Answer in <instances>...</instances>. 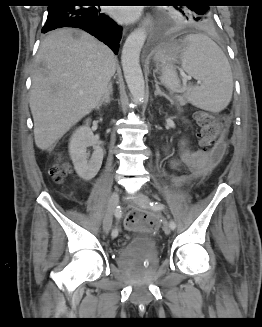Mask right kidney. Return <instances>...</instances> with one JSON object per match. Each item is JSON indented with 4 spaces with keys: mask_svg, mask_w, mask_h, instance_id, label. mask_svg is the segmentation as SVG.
I'll return each mask as SVG.
<instances>
[{
    "mask_svg": "<svg viewBox=\"0 0 262 327\" xmlns=\"http://www.w3.org/2000/svg\"><path fill=\"white\" fill-rule=\"evenodd\" d=\"M89 146L94 149L91 157L87 152ZM69 153L79 177L88 181L96 176L101 168L104 153L89 127V120L71 136Z\"/></svg>",
    "mask_w": 262,
    "mask_h": 327,
    "instance_id": "ca27d5eb",
    "label": "right kidney"
}]
</instances>
